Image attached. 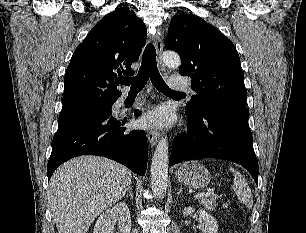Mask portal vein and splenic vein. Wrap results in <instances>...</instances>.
<instances>
[{"mask_svg": "<svg viewBox=\"0 0 306 233\" xmlns=\"http://www.w3.org/2000/svg\"><path fill=\"white\" fill-rule=\"evenodd\" d=\"M207 196H215V197H218L214 194L213 191H209V192H206V193H198L194 196L195 199H198V198H202V197H207Z\"/></svg>", "mask_w": 306, "mask_h": 233, "instance_id": "obj_1", "label": "portal vein and splenic vein"}]
</instances>
